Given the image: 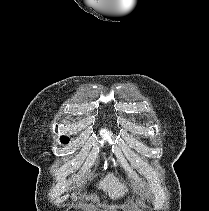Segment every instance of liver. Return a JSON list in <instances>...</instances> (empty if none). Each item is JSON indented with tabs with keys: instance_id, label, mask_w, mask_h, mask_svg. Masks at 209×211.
I'll return each mask as SVG.
<instances>
[{
	"instance_id": "6515ba94",
	"label": "liver",
	"mask_w": 209,
	"mask_h": 211,
	"mask_svg": "<svg viewBox=\"0 0 209 211\" xmlns=\"http://www.w3.org/2000/svg\"><path fill=\"white\" fill-rule=\"evenodd\" d=\"M103 191H107L109 197L113 200L123 197L127 191L124 184H122L113 174H108L99 185Z\"/></svg>"
}]
</instances>
